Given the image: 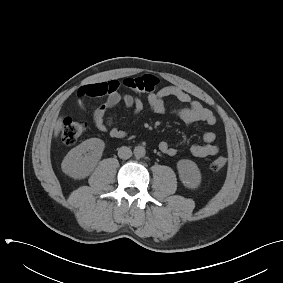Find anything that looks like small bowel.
I'll return each mask as SVG.
<instances>
[{"label": "small bowel", "mask_w": 283, "mask_h": 283, "mask_svg": "<svg viewBox=\"0 0 283 283\" xmlns=\"http://www.w3.org/2000/svg\"><path fill=\"white\" fill-rule=\"evenodd\" d=\"M121 84L118 80H109L85 85L77 91V104L81 109L85 107L87 97H106L104 103L97 107L92 115L95 127L101 132H107L113 138H124L126 131L113 126V119L108 115L109 111L119 103H123L125 108L133 115H139L144 111L145 105L141 98L131 94H121L119 92ZM174 97L180 107L173 112L185 124L204 122L208 126L216 124V117L213 112L204 107L200 102L193 100L191 96L176 86H166L155 93L149 94L147 98L149 109L154 114H164L166 111L164 99ZM204 143L192 144L190 153L195 157L214 156L219 152L216 144V134L208 131L203 135ZM159 150L167 156H175L177 150L167 141L159 143Z\"/></svg>", "instance_id": "c3829d8e"}]
</instances>
